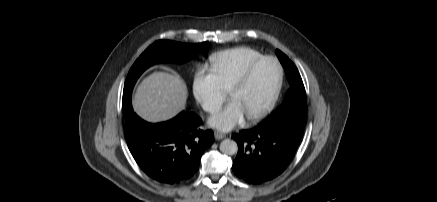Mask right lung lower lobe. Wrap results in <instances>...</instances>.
<instances>
[{
  "instance_id": "98d812e1",
  "label": "right lung lower lobe",
  "mask_w": 437,
  "mask_h": 202,
  "mask_svg": "<svg viewBox=\"0 0 437 202\" xmlns=\"http://www.w3.org/2000/svg\"><path fill=\"white\" fill-rule=\"evenodd\" d=\"M202 120L183 111L171 120L148 123L132 110L125 117L124 136L141 169L163 184L190 179L199 169L203 151L214 141L211 130H201Z\"/></svg>"
}]
</instances>
